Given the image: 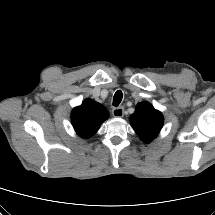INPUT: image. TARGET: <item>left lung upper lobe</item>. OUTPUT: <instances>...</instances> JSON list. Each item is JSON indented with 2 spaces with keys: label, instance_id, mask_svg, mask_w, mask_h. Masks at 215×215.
<instances>
[{
  "label": "left lung upper lobe",
  "instance_id": "left-lung-upper-lobe-1",
  "mask_svg": "<svg viewBox=\"0 0 215 215\" xmlns=\"http://www.w3.org/2000/svg\"><path fill=\"white\" fill-rule=\"evenodd\" d=\"M131 125L140 139L150 143L159 134L163 126V115L148 102L137 105L136 111L131 116Z\"/></svg>",
  "mask_w": 215,
  "mask_h": 215
}]
</instances>
